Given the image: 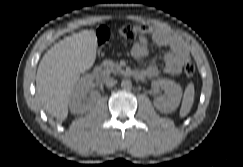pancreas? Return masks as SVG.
I'll return each mask as SVG.
<instances>
[{
  "instance_id": "pancreas-1",
  "label": "pancreas",
  "mask_w": 243,
  "mask_h": 167,
  "mask_svg": "<svg viewBox=\"0 0 243 167\" xmlns=\"http://www.w3.org/2000/svg\"><path fill=\"white\" fill-rule=\"evenodd\" d=\"M102 65L104 67V71L106 72V74H110V73H114V74L123 73V70H122L121 66L118 63H115L112 60H104V62H103Z\"/></svg>"
}]
</instances>
